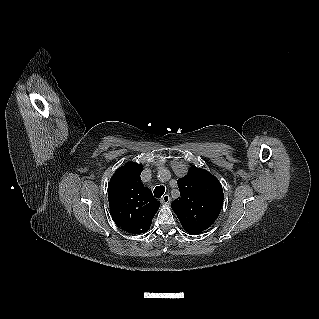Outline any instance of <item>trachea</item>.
Here are the masks:
<instances>
[{
  "label": "trachea",
  "instance_id": "1",
  "mask_svg": "<svg viewBox=\"0 0 319 319\" xmlns=\"http://www.w3.org/2000/svg\"><path fill=\"white\" fill-rule=\"evenodd\" d=\"M165 192V187L160 185V186H157L155 189H154V196L156 198H160Z\"/></svg>",
  "mask_w": 319,
  "mask_h": 319
}]
</instances>
